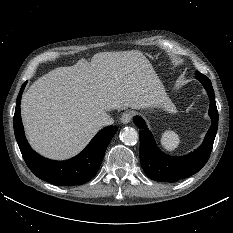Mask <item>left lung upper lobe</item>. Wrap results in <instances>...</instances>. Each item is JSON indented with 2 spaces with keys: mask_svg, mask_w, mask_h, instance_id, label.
I'll return each instance as SVG.
<instances>
[{
  "mask_svg": "<svg viewBox=\"0 0 233 233\" xmlns=\"http://www.w3.org/2000/svg\"><path fill=\"white\" fill-rule=\"evenodd\" d=\"M205 75L201 74L200 72L196 71V79L199 77H204Z\"/></svg>",
  "mask_w": 233,
  "mask_h": 233,
  "instance_id": "obj_1",
  "label": "left lung upper lobe"
}]
</instances>
